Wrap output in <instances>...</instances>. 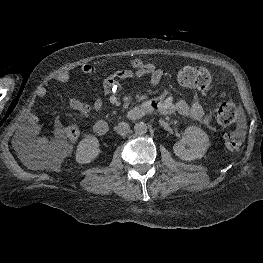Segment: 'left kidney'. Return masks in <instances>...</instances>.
<instances>
[{"mask_svg": "<svg viewBox=\"0 0 263 263\" xmlns=\"http://www.w3.org/2000/svg\"><path fill=\"white\" fill-rule=\"evenodd\" d=\"M188 146V148H185ZM209 137L199 127L189 126L183 137L174 144L173 151L177 157L185 161L201 159L209 148Z\"/></svg>", "mask_w": 263, "mask_h": 263, "instance_id": "obj_1", "label": "left kidney"}]
</instances>
